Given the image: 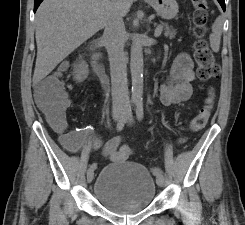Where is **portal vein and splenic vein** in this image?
<instances>
[{"label":"portal vein and splenic vein","mask_w":245,"mask_h":225,"mask_svg":"<svg viewBox=\"0 0 245 225\" xmlns=\"http://www.w3.org/2000/svg\"><path fill=\"white\" fill-rule=\"evenodd\" d=\"M162 30H163V27L161 25L157 26L156 29H155V33H154V36L155 37H159L162 33Z\"/></svg>","instance_id":"portal-vein-and-splenic-vein-1"}]
</instances>
